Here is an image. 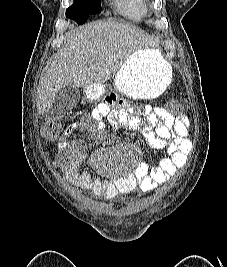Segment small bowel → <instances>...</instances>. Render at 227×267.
<instances>
[{
  "label": "small bowel",
  "instance_id": "small-bowel-1",
  "mask_svg": "<svg viewBox=\"0 0 227 267\" xmlns=\"http://www.w3.org/2000/svg\"><path fill=\"white\" fill-rule=\"evenodd\" d=\"M115 117L128 128L142 133L151 146L164 150L166 157L152 168L145 161H140L133 172L113 180L92 176L82 167L87 158L82 143L70 139L75 132L87 130L91 140L99 141L102 139L101 133ZM191 149L192 144L187 138V128L182 117L175 116L164 108L142 103L117 107L115 99L107 97L90 115L83 116L64 130L58 143L55 163L71 184L95 195L115 198L135 189L154 190L185 165Z\"/></svg>",
  "mask_w": 227,
  "mask_h": 267
}]
</instances>
